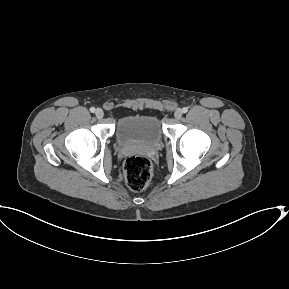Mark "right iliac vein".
<instances>
[{
    "label": "right iliac vein",
    "mask_w": 289,
    "mask_h": 289,
    "mask_svg": "<svg viewBox=\"0 0 289 289\" xmlns=\"http://www.w3.org/2000/svg\"><path fill=\"white\" fill-rule=\"evenodd\" d=\"M95 115H96L97 118L100 119V118H102L104 116V112H103L102 109L99 108V109L96 110Z\"/></svg>",
    "instance_id": "right-iliac-vein-1"
}]
</instances>
